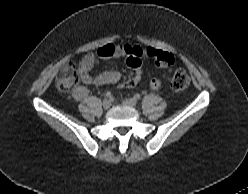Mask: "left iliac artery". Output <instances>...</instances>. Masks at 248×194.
<instances>
[{"mask_svg":"<svg viewBox=\"0 0 248 194\" xmlns=\"http://www.w3.org/2000/svg\"><path fill=\"white\" fill-rule=\"evenodd\" d=\"M134 99H135V100H140V99H141L140 94L136 93V94L134 95Z\"/></svg>","mask_w":248,"mask_h":194,"instance_id":"obj_1","label":"left iliac artery"}]
</instances>
